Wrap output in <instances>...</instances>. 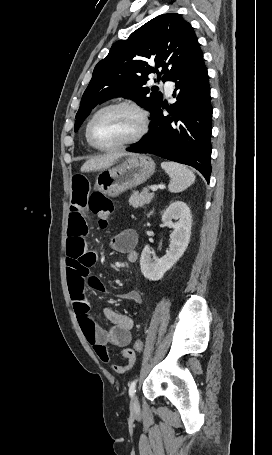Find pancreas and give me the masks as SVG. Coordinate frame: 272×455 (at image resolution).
Instances as JSON below:
<instances>
[{"label":"pancreas","instance_id":"obj_1","mask_svg":"<svg viewBox=\"0 0 272 455\" xmlns=\"http://www.w3.org/2000/svg\"><path fill=\"white\" fill-rule=\"evenodd\" d=\"M154 197V193H149L147 188H144L140 193L133 194L129 199V204L134 208L143 207L149 204Z\"/></svg>","mask_w":272,"mask_h":455}]
</instances>
